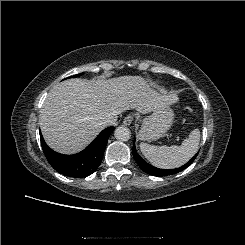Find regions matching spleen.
<instances>
[{"instance_id": "1", "label": "spleen", "mask_w": 245, "mask_h": 245, "mask_svg": "<svg viewBox=\"0 0 245 245\" xmlns=\"http://www.w3.org/2000/svg\"><path fill=\"white\" fill-rule=\"evenodd\" d=\"M200 141L199 129H194L180 146H154L146 143L140 144L142 154L153 165L159 168H177L190 160L198 151Z\"/></svg>"}]
</instances>
